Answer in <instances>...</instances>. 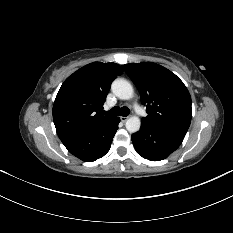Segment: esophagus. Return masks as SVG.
Instances as JSON below:
<instances>
[{
	"instance_id": "obj_1",
	"label": "esophagus",
	"mask_w": 233,
	"mask_h": 233,
	"mask_svg": "<svg viewBox=\"0 0 233 233\" xmlns=\"http://www.w3.org/2000/svg\"><path fill=\"white\" fill-rule=\"evenodd\" d=\"M120 119H121L122 122H126L127 119H128V117H126V116H121Z\"/></svg>"
}]
</instances>
